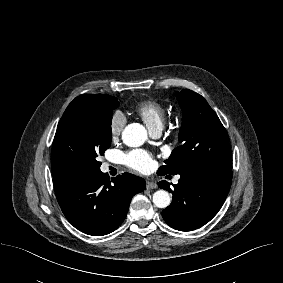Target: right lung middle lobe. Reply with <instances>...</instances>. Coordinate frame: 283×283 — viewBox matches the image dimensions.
Here are the masks:
<instances>
[{"instance_id":"right-lung-middle-lobe-1","label":"right lung middle lobe","mask_w":283,"mask_h":283,"mask_svg":"<svg viewBox=\"0 0 283 283\" xmlns=\"http://www.w3.org/2000/svg\"><path fill=\"white\" fill-rule=\"evenodd\" d=\"M118 105L112 96L69 104L52 147L54 186L63 188L100 171L97 157L111 145L112 113Z\"/></svg>"}]
</instances>
